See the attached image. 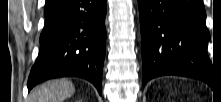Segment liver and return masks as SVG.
I'll list each match as a JSON object with an SVG mask.
<instances>
[{"mask_svg":"<svg viewBox=\"0 0 221 102\" xmlns=\"http://www.w3.org/2000/svg\"><path fill=\"white\" fill-rule=\"evenodd\" d=\"M74 92L75 87L69 80H52L35 88L29 96V102H63Z\"/></svg>","mask_w":221,"mask_h":102,"instance_id":"liver-1","label":"liver"}]
</instances>
